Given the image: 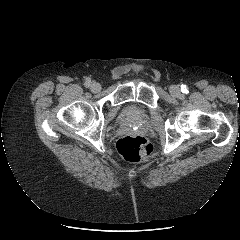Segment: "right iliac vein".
Returning <instances> with one entry per match:
<instances>
[{"label":"right iliac vein","instance_id":"right-iliac-vein-1","mask_svg":"<svg viewBox=\"0 0 240 240\" xmlns=\"http://www.w3.org/2000/svg\"><path fill=\"white\" fill-rule=\"evenodd\" d=\"M90 89H91L92 92L97 93L101 90V85L99 83L93 82L90 85Z\"/></svg>","mask_w":240,"mask_h":240}]
</instances>
